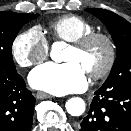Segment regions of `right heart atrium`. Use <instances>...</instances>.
Instances as JSON below:
<instances>
[{
    "instance_id": "right-heart-atrium-1",
    "label": "right heart atrium",
    "mask_w": 131,
    "mask_h": 131,
    "mask_svg": "<svg viewBox=\"0 0 131 131\" xmlns=\"http://www.w3.org/2000/svg\"><path fill=\"white\" fill-rule=\"evenodd\" d=\"M12 56L22 68L34 66L49 55V43L39 27L18 34L11 45Z\"/></svg>"
}]
</instances>
